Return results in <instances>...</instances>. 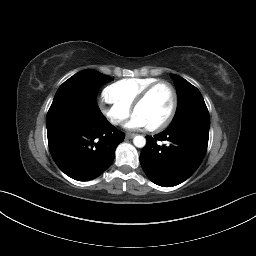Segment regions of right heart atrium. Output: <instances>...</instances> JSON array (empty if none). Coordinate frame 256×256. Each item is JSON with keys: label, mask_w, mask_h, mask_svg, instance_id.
<instances>
[{"label": "right heart atrium", "mask_w": 256, "mask_h": 256, "mask_svg": "<svg viewBox=\"0 0 256 256\" xmlns=\"http://www.w3.org/2000/svg\"><path fill=\"white\" fill-rule=\"evenodd\" d=\"M101 111L111 124L118 126L129 117L131 108L111 100L104 93L101 99Z\"/></svg>", "instance_id": "1"}]
</instances>
